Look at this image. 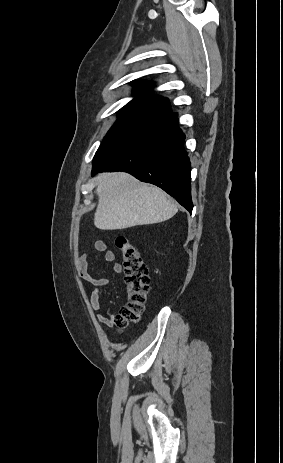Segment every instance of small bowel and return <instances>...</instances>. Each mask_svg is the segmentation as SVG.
Returning a JSON list of instances; mask_svg holds the SVG:
<instances>
[{
  "label": "small bowel",
  "instance_id": "obj_1",
  "mask_svg": "<svg viewBox=\"0 0 283 463\" xmlns=\"http://www.w3.org/2000/svg\"><path fill=\"white\" fill-rule=\"evenodd\" d=\"M94 248L97 253H104V258L106 262L113 263V270L116 273H121L123 268L122 265L118 262H115V254L113 251L108 250L107 244L104 240H97L94 243ZM77 267L80 277L89 285L93 287V290L90 294V305L93 310L98 311L101 307L100 294L101 290L106 288L109 284V281L106 278H96L93 277L90 272V262L88 260L87 254L82 253L77 260ZM98 321L104 326H110L115 320V315L109 312L105 314H97Z\"/></svg>",
  "mask_w": 283,
  "mask_h": 463
}]
</instances>
